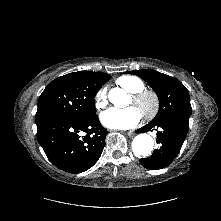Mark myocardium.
I'll return each instance as SVG.
<instances>
[{
	"instance_id": "obj_1",
	"label": "myocardium",
	"mask_w": 221,
	"mask_h": 221,
	"mask_svg": "<svg viewBox=\"0 0 221 221\" xmlns=\"http://www.w3.org/2000/svg\"><path fill=\"white\" fill-rule=\"evenodd\" d=\"M132 99L134 104L138 107L144 106L146 102L149 103L148 107L144 108L141 112L145 119L149 120L157 115L160 108V100L154 91L143 89L133 93Z\"/></svg>"
}]
</instances>
